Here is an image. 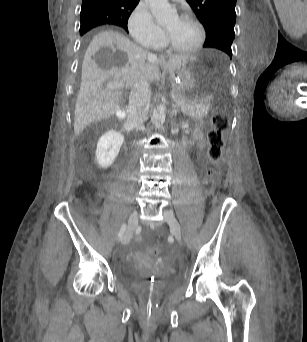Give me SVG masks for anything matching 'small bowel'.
<instances>
[{"instance_id": "obj_1", "label": "small bowel", "mask_w": 307, "mask_h": 342, "mask_svg": "<svg viewBox=\"0 0 307 342\" xmlns=\"http://www.w3.org/2000/svg\"><path fill=\"white\" fill-rule=\"evenodd\" d=\"M194 136L201 142V145H204V138L203 134L200 130H195L194 131Z\"/></svg>"}]
</instances>
